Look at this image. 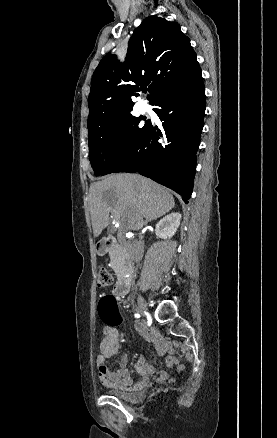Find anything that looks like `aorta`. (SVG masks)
I'll return each mask as SVG.
<instances>
[{
	"label": "aorta",
	"instance_id": "762f6f07",
	"mask_svg": "<svg viewBox=\"0 0 277 438\" xmlns=\"http://www.w3.org/2000/svg\"><path fill=\"white\" fill-rule=\"evenodd\" d=\"M128 238H130V237H132V236H130V234H128V236H127Z\"/></svg>",
	"mask_w": 277,
	"mask_h": 438
}]
</instances>
